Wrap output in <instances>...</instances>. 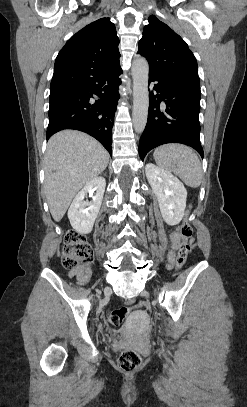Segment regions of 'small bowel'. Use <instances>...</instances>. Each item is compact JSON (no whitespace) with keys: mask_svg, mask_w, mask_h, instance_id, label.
<instances>
[{"mask_svg":"<svg viewBox=\"0 0 247 407\" xmlns=\"http://www.w3.org/2000/svg\"><path fill=\"white\" fill-rule=\"evenodd\" d=\"M170 240H171V249L169 250L168 253V266L172 267L175 259V250L179 247L180 244L179 232L174 231L170 236ZM192 241L193 240L191 239V242ZM91 275H92L91 269L87 266L76 267L68 271L69 278H75L77 283L80 285L86 284L90 280Z\"/></svg>","mask_w":247,"mask_h":407,"instance_id":"c3829d8e","label":"small bowel"}]
</instances>
